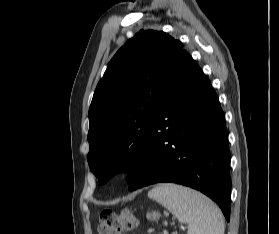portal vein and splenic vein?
<instances>
[{
	"label": "portal vein and splenic vein",
	"mask_w": 279,
	"mask_h": 234,
	"mask_svg": "<svg viewBox=\"0 0 279 234\" xmlns=\"http://www.w3.org/2000/svg\"><path fill=\"white\" fill-rule=\"evenodd\" d=\"M153 231V229H150V232H152Z\"/></svg>",
	"instance_id": "portal-vein-and-splenic-vein-1"
}]
</instances>
